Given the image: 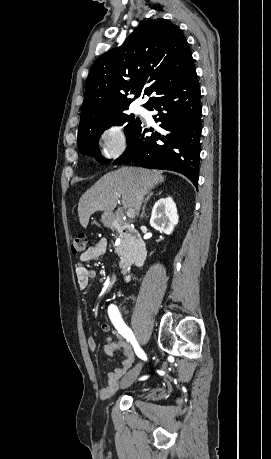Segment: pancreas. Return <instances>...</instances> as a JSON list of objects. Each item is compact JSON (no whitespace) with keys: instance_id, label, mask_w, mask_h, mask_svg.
Wrapping results in <instances>:
<instances>
[{"instance_id":"cf45deb5","label":"pancreas","mask_w":271,"mask_h":459,"mask_svg":"<svg viewBox=\"0 0 271 459\" xmlns=\"http://www.w3.org/2000/svg\"><path fill=\"white\" fill-rule=\"evenodd\" d=\"M115 251H117L118 255L120 257H125V255H130L131 253V247L129 245V241L124 235V233H120V243L119 245H116Z\"/></svg>"}]
</instances>
